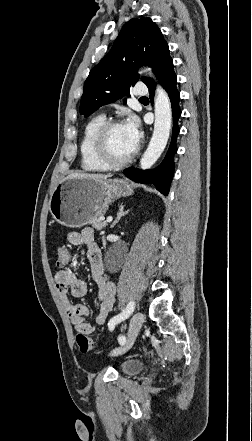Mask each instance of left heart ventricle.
Masks as SVG:
<instances>
[{"label":"left heart ventricle","instance_id":"left-heart-ventricle-1","mask_svg":"<svg viewBox=\"0 0 252 441\" xmlns=\"http://www.w3.org/2000/svg\"><path fill=\"white\" fill-rule=\"evenodd\" d=\"M106 148L111 159L122 160L132 153L123 125L110 130L106 138Z\"/></svg>","mask_w":252,"mask_h":441}]
</instances>
